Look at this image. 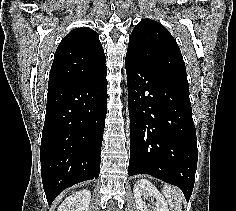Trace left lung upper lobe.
Instances as JSON below:
<instances>
[{"mask_svg":"<svg viewBox=\"0 0 236 211\" xmlns=\"http://www.w3.org/2000/svg\"><path fill=\"white\" fill-rule=\"evenodd\" d=\"M126 58L188 84L176 40L154 20L143 19L135 26L129 38Z\"/></svg>","mask_w":236,"mask_h":211,"instance_id":"1","label":"left lung upper lobe"}]
</instances>
